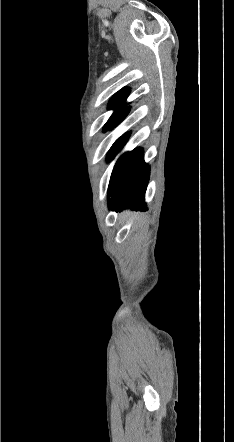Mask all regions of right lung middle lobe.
I'll list each match as a JSON object with an SVG mask.
<instances>
[{
    "mask_svg": "<svg viewBox=\"0 0 234 442\" xmlns=\"http://www.w3.org/2000/svg\"><path fill=\"white\" fill-rule=\"evenodd\" d=\"M117 116L112 115L109 120L107 121V123L104 126V131H107L108 129H110V127L112 126V124L115 122Z\"/></svg>",
    "mask_w": 234,
    "mask_h": 442,
    "instance_id": "1",
    "label": "right lung middle lobe"
}]
</instances>
